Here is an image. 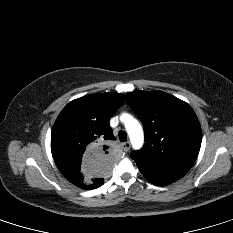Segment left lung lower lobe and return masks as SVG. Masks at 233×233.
I'll use <instances>...</instances> for the list:
<instances>
[{"instance_id":"left-lung-lower-lobe-1","label":"left lung lower lobe","mask_w":233,"mask_h":233,"mask_svg":"<svg viewBox=\"0 0 233 233\" xmlns=\"http://www.w3.org/2000/svg\"><path fill=\"white\" fill-rule=\"evenodd\" d=\"M144 177L158 186L171 184L182 178L188 171L179 167H158L135 161Z\"/></svg>"}]
</instances>
